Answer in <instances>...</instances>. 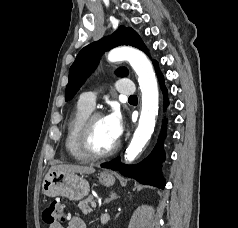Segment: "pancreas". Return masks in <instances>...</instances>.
Masks as SVG:
<instances>
[{
	"instance_id": "obj_1",
	"label": "pancreas",
	"mask_w": 238,
	"mask_h": 228,
	"mask_svg": "<svg viewBox=\"0 0 238 228\" xmlns=\"http://www.w3.org/2000/svg\"><path fill=\"white\" fill-rule=\"evenodd\" d=\"M93 201H94L93 196H89L86 199L80 201L78 207L85 215H88L92 212V209L89 207V203Z\"/></svg>"
}]
</instances>
